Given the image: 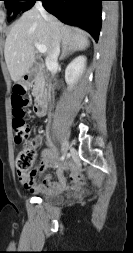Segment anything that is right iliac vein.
I'll return each instance as SVG.
<instances>
[{"label":"right iliac vein","instance_id":"63e3f726","mask_svg":"<svg viewBox=\"0 0 133 253\" xmlns=\"http://www.w3.org/2000/svg\"><path fill=\"white\" fill-rule=\"evenodd\" d=\"M69 148H70L69 142L65 140L62 144V153L66 154Z\"/></svg>","mask_w":133,"mask_h":253}]
</instances>
